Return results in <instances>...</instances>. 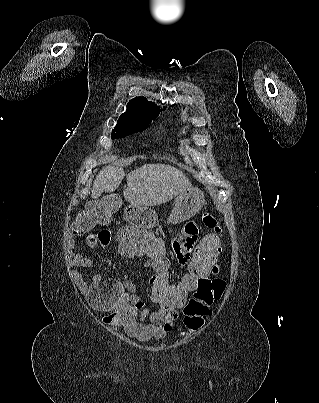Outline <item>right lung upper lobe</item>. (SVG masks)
<instances>
[{
    "mask_svg": "<svg viewBox=\"0 0 319 403\" xmlns=\"http://www.w3.org/2000/svg\"><path fill=\"white\" fill-rule=\"evenodd\" d=\"M160 107L152 102H149L144 97H136L129 101L127 110L120 117L134 120L144 121L155 116H158Z\"/></svg>",
    "mask_w": 319,
    "mask_h": 403,
    "instance_id": "obj_1",
    "label": "right lung upper lobe"
}]
</instances>
